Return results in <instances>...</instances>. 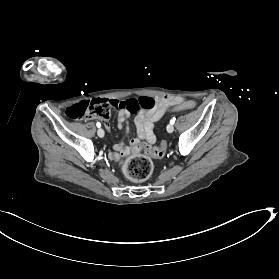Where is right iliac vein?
<instances>
[{
    "mask_svg": "<svg viewBox=\"0 0 279 279\" xmlns=\"http://www.w3.org/2000/svg\"><path fill=\"white\" fill-rule=\"evenodd\" d=\"M97 134L100 138H102V137H104L105 133H104V130L100 128V129H98Z\"/></svg>",
    "mask_w": 279,
    "mask_h": 279,
    "instance_id": "1",
    "label": "right iliac vein"
}]
</instances>
